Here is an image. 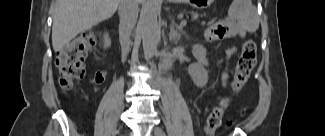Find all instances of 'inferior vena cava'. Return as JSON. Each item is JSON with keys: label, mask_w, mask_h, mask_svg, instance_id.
I'll use <instances>...</instances> for the list:
<instances>
[{"label": "inferior vena cava", "mask_w": 325, "mask_h": 136, "mask_svg": "<svg viewBox=\"0 0 325 136\" xmlns=\"http://www.w3.org/2000/svg\"><path fill=\"white\" fill-rule=\"evenodd\" d=\"M138 0H121L118 13L120 17V25L124 35L121 41V49L125 58L130 46L129 36L134 29L138 17Z\"/></svg>", "instance_id": "602c4592"}]
</instances>
